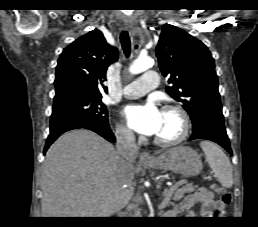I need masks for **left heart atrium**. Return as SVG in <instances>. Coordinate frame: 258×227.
Segmentation results:
<instances>
[{"label":"left heart atrium","mask_w":258,"mask_h":227,"mask_svg":"<svg viewBox=\"0 0 258 227\" xmlns=\"http://www.w3.org/2000/svg\"><path fill=\"white\" fill-rule=\"evenodd\" d=\"M162 112L152 101L144 105H131L124 109L128 125L139 133L154 135L159 129Z\"/></svg>","instance_id":"left-heart-atrium-1"}]
</instances>
